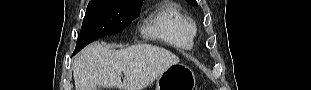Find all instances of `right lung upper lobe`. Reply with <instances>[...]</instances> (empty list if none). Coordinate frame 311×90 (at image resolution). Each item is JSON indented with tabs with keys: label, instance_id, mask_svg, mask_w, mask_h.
Segmentation results:
<instances>
[{
	"label": "right lung upper lobe",
	"instance_id": "1",
	"mask_svg": "<svg viewBox=\"0 0 311 90\" xmlns=\"http://www.w3.org/2000/svg\"><path fill=\"white\" fill-rule=\"evenodd\" d=\"M93 1V0H91ZM125 1H131V2H141L142 0H125Z\"/></svg>",
	"mask_w": 311,
	"mask_h": 90
}]
</instances>
